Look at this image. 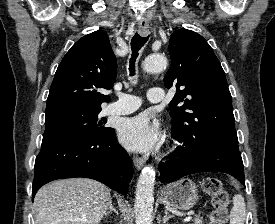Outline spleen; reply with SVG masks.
<instances>
[{
	"label": "spleen",
	"instance_id": "1",
	"mask_svg": "<svg viewBox=\"0 0 275 224\" xmlns=\"http://www.w3.org/2000/svg\"><path fill=\"white\" fill-rule=\"evenodd\" d=\"M246 216V205L241 194L233 197V207L230 212V224H244Z\"/></svg>",
	"mask_w": 275,
	"mask_h": 224
}]
</instances>
